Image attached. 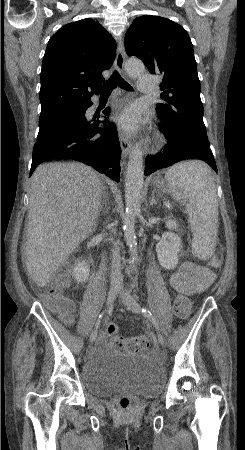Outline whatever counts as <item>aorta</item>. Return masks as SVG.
I'll list each match as a JSON object with an SVG mask.
<instances>
[{
  "instance_id": "aorta-1",
  "label": "aorta",
  "mask_w": 245,
  "mask_h": 450,
  "mask_svg": "<svg viewBox=\"0 0 245 450\" xmlns=\"http://www.w3.org/2000/svg\"><path fill=\"white\" fill-rule=\"evenodd\" d=\"M145 66L142 61L128 59L125 63V70L131 77L140 76L144 72ZM143 153L137 145L129 156L128 167L125 175V218L124 236L130 248L132 258L137 256L135 217L140 211L141 198L144 184Z\"/></svg>"
}]
</instances>
